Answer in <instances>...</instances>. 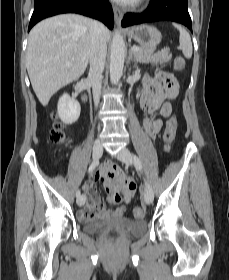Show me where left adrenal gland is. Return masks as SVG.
Returning <instances> with one entry per match:
<instances>
[{"label":"left adrenal gland","instance_id":"a2214340","mask_svg":"<svg viewBox=\"0 0 229 280\" xmlns=\"http://www.w3.org/2000/svg\"><path fill=\"white\" fill-rule=\"evenodd\" d=\"M131 61L133 62V67H134V68H138L137 63H136L135 60L133 59L132 52H131V50H130V51H129V57H128V63H130Z\"/></svg>","mask_w":229,"mask_h":280}]
</instances>
